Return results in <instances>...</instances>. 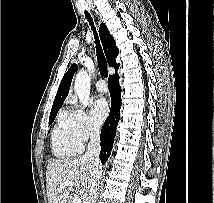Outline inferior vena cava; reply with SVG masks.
<instances>
[{"mask_svg": "<svg viewBox=\"0 0 214 203\" xmlns=\"http://www.w3.org/2000/svg\"><path fill=\"white\" fill-rule=\"evenodd\" d=\"M100 154V130L98 127H91L90 129V142L87 147L83 159L88 160L91 166V183L89 189L84 197L83 203H95L97 191L100 186V179L102 174V167L99 160Z\"/></svg>", "mask_w": 214, "mask_h": 203, "instance_id": "inferior-vena-cava-1", "label": "inferior vena cava"}]
</instances>
